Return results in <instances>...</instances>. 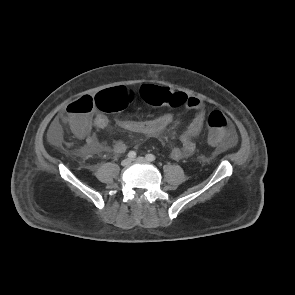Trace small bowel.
<instances>
[{
    "label": "small bowel",
    "mask_w": 295,
    "mask_h": 295,
    "mask_svg": "<svg viewBox=\"0 0 295 295\" xmlns=\"http://www.w3.org/2000/svg\"><path fill=\"white\" fill-rule=\"evenodd\" d=\"M185 108L193 111L194 117L188 128L181 137V146L174 147L170 151V156L174 160H181L191 157L196 149V138L201 133L205 123V105L204 102L197 97H187ZM175 120V114L167 112L159 117L146 120L135 121L127 119H119L117 125L119 128L139 133L147 136L161 137L166 128ZM106 130L109 127V119L102 113H93L84 118L77 128H74V133L82 139L86 140L85 150L90 154L100 152H112L121 154L125 152L126 145L122 141H115L111 146L106 145L97 136L91 133L92 128ZM50 142L57 146L62 141V130L59 121L55 120L48 131Z\"/></svg>",
    "instance_id": "small-bowel-1"
}]
</instances>
